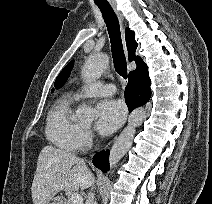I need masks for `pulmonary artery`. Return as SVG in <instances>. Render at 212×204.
<instances>
[{"mask_svg": "<svg viewBox=\"0 0 212 204\" xmlns=\"http://www.w3.org/2000/svg\"><path fill=\"white\" fill-rule=\"evenodd\" d=\"M115 92V87L112 84H105L101 81H96L82 87L76 94L77 99L96 96H110Z\"/></svg>", "mask_w": 212, "mask_h": 204, "instance_id": "e3ab8cb5", "label": "pulmonary artery"}]
</instances>
